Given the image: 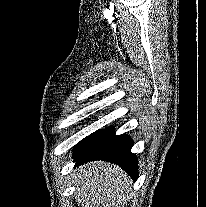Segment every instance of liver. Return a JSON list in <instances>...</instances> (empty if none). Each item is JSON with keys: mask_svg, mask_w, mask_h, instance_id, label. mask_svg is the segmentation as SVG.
Listing matches in <instances>:
<instances>
[{"mask_svg": "<svg viewBox=\"0 0 206 207\" xmlns=\"http://www.w3.org/2000/svg\"><path fill=\"white\" fill-rule=\"evenodd\" d=\"M75 196L82 207H124L131 197L130 177L117 165L95 161L74 173Z\"/></svg>", "mask_w": 206, "mask_h": 207, "instance_id": "1", "label": "liver"}]
</instances>
